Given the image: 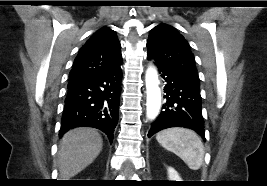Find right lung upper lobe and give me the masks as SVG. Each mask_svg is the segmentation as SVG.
Returning <instances> with one entry per match:
<instances>
[{
	"instance_id": "1",
	"label": "right lung upper lobe",
	"mask_w": 267,
	"mask_h": 186,
	"mask_svg": "<svg viewBox=\"0 0 267 186\" xmlns=\"http://www.w3.org/2000/svg\"><path fill=\"white\" fill-rule=\"evenodd\" d=\"M120 48L113 30L108 27L99 29L79 50L69 79L121 64Z\"/></svg>"
}]
</instances>
